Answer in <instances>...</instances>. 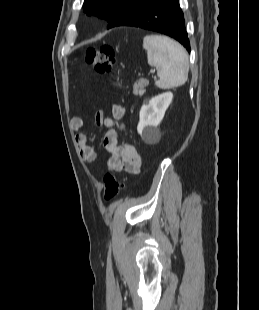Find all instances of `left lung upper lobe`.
I'll return each instance as SVG.
<instances>
[{"mask_svg": "<svg viewBox=\"0 0 259 310\" xmlns=\"http://www.w3.org/2000/svg\"><path fill=\"white\" fill-rule=\"evenodd\" d=\"M149 0H84L83 11L107 20L112 28L131 9Z\"/></svg>", "mask_w": 259, "mask_h": 310, "instance_id": "obj_1", "label": "left lung upper lobe"}]
</instances>
